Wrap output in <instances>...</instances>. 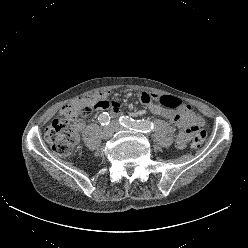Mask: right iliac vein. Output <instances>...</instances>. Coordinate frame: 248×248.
I'll list each match as a JSON object with an SVG mask.
<instances>
[{
    "label": "right iliac vein",
    "mask_w": 248,
    "mask_h": 248,
    "mask_svg": "<svg viewBox=\"0 0 248 248\" xmlns=\"http://www.w3.org/2000/svg\"><path fill=\"white\" fill-rule=\"evenodd\" d=\"M113 133H114V128H113L111 125H109V126H107V127H105V128L103 129V136H104L105 138H110V137H112Z\"/></svg>",
    "instance_id": "obj_1"
}]
</instances>
